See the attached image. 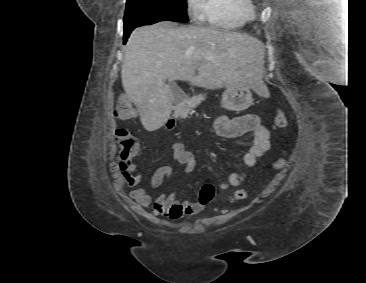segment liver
I'll return each instance as SVG.
<instances>
[{"instance_id":"obj_1","label":"liver","mask_w":366,"mask_h":283,"mask_svg":"<svg viewBox=\"0 0 366 283\" xmlns=\"http://www.w3.org/2000/svg\"><path fill=\"white\" fill-rule=\"evenodd\" d=\"M264 47L250 35L164 21L135 29L121 70L126 95L147 131L161 128L173 110L166 80L208 89L242 82L259 91Z\"/></svg>"}]
</instances>
